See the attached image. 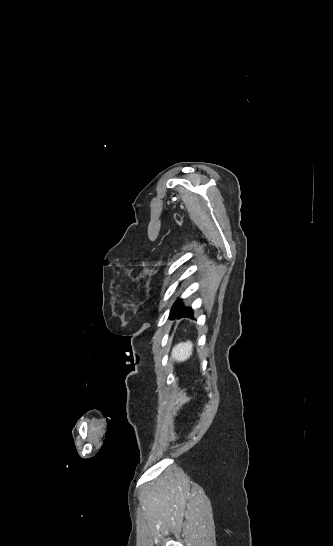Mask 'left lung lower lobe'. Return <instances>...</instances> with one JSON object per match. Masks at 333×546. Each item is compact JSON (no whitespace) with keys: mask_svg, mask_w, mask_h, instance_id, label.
I'll return each instance as SVG.
<instances>
[{"mask_svg":"<svg viewBox=\"0 0 333 546\" xmlns=\"http://www.w3.org/2000/svg\"><path fill=\"white\" fill-rule=\"evenodd\" d=\"M182 304H183L182 299H179L178 301L175 302V304L173 305L170 311V316L172 318L180 319L183 317H190V318L193 317L192 308L191 307L182 308L181 307Z\"/></svg>","mask_w":333,"mask_h":546,"instance_id":"obj_1","label":"left lung lower lobe"}]
</instances>
